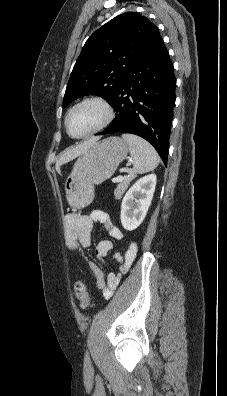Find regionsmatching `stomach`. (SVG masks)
Returning <instances> with one entry per match:
<instances>
[{
	"mask_svg": "<svg viewBox=\"0 0 227 396\" xmlns=\"http://www.w3.org/2000/svg\"><path fill=\"white\" fill-rule=\"evenodd\" d=\"M128 146L118 137L95 142L83 152L65 181L68 203L83 208L92 203L94 187L109 179L126 158Z\"/></svg>",
	"mask_w": 227,
	"mask_h": 396,
	"instance_id": "1",
	"label": "stomach"
}]
</instances>
